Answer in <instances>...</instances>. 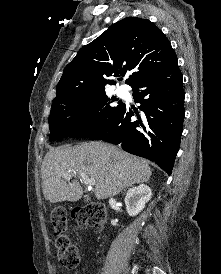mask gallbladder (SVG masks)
I'll return each mask as SVG.
<instances>
[{"mask_svg": "<svg viewBox=\"0 0 221 274\" xmlns=\"http://www.w3.org/2000/svg\"><path fill=\"white\" fill-rule=\"evenodd\" d=\"M89 200V197H86L85 201H88Z\"/></svg>", "mask_w": 221, "mask_h": 274, "instance_id": "gallbladder-1", "label": "gallbladder"}]
</instances>
